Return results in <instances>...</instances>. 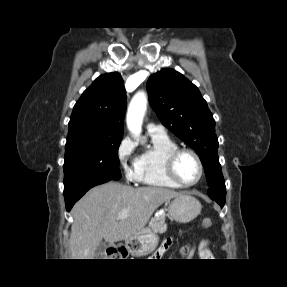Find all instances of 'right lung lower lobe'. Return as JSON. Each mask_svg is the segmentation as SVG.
<instances>
[{
	"label": "right lung lower lobe",
	"instance_id": "obj_1",
	"mask_svg": "<svg viewBox=\"0 0 287 287\" xmlns=\"http://www.w3.org/2000/svg\"><path fill=\"white\" fill-rule=\"evenodd\" d=\"M110 179L97 178L82 180L64 190L66 210L70 211L77 200H79L90 188L109 181Z\"/></svg>",
	"mask_w": 287,
	"mask_h": 287
}]
</instances>
